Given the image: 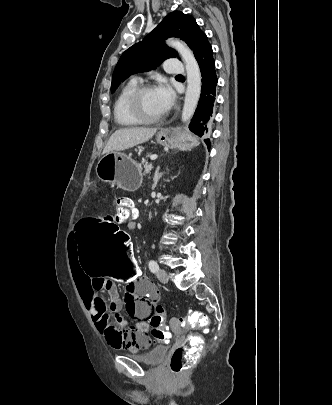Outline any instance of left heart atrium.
<instances>
[{
  "label": "left heart atrium",
  "instance_id": "39dd6f15",
  "mask_svg": "<svg viewBox=\"0 0 332 405\" xmlns=\"http://www.w3.org/2000/svg\"><path fill=\"white\" fill-rule=\"evenodd\" d=\"M156 92L163 108L166 111L169 110L172 107L175 100V94L171 89V87L167 83H161L156 88Z\"/></svg>",
  "mask_w": 332,
  "mask_h": 405
}]
</instances>
